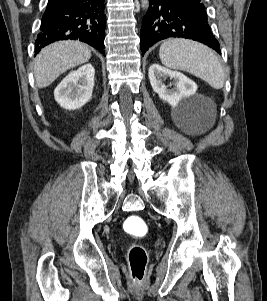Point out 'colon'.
Masks as SVG:
<instances>
[{
  "instance_id": "colon-1",
  "label": "colon",
  "mask_w": 267,
  "mask_h": 301,
  "mask_svg": "<svg viewBox=\"0 0 267 301\" xmlns=\"http://www.w3.org/2000/svg\"><path fill=\"white\" fill-rule=\"evenodd\" d=\"M124 230L136 237H142L147 232L144 220L137 215H130L124 222ZM128 260L130 265L131 277L134 282H141L145 276L148 255L145 248L141 245H133L129 249Z\"/></svg>"
}]
</instances>
